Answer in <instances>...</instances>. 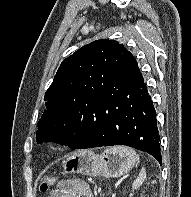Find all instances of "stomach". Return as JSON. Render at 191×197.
Instances as JSON below:
<instances>
[{
  "mask_svg": "<svg viewBox=\"0 0 191 197\" xmlns=\"http://www.w3.org/2000/svg\"><path fill=\"white\" fill-rule=\"evenodd\" d=\"M133 165L134 162H131L128 156L119 154L112 148L100 155H96L91 150H80L66 159L64 171L70 174L115 178L127 173Z\"/></svg>",
  "mask_w": 191,
  "mask_h": 197,
  "instance_id": "obj_1",
  "label": "stomach"
}]
</instances>
